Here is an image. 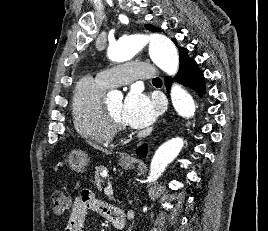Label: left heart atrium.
<instances>
[{
	"label": "left heart atrium",
	"mask_w": 268,
	"mask_h": 231,
	"mask_svg": "<svg viewBox=\"0 0 268 231\" xmlns=\"http://www.w3.org/2000/svg\"><path fill=\"white\" fill-rule=\"evenodd\" d=\"M159 108L142 90L133 87L123 103V119L132 128H144L154 122Z\"/></svg>",
	"instance_id": "1"
}]
</instances>
